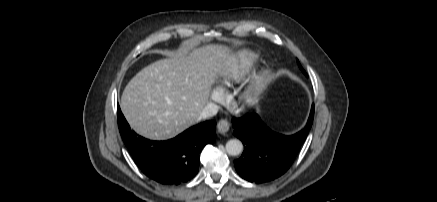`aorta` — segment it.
I'll list each match as a JSON object with an SVG mask.
<instances>
[{"instance_id": "aorta-1", "label": "aorta", "mask_w": 437, "mask_h": 202, "mask_svg": "<svg viewBox=\"0 0 437 202\" xmlns=\"http://www.w3.org/2000/svg\"><path fill=\"white\" fill-rule=\"evenodd\" d=\"M243 150V144L238 139H231L226 143V152L229 155L237 156Z\"/></svg>"}]
</instances>
